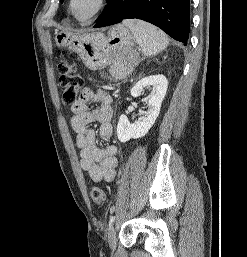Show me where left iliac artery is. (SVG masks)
Segmentation results:
<instances>
[{"instance_id":"1","label":"left iliac artery","mask_w":247,"mask_h":257,"mask_svg":"<svg viewBox=\"0 0 247 257\" xmlns=\"http://www.w3.org/2000/svg\"><path fill=\"white\" fill-rule=\"evenodd\" d=\"M114 221H115V216H111L109 220V226H111Z\"/></svg>"}]
</instances>
